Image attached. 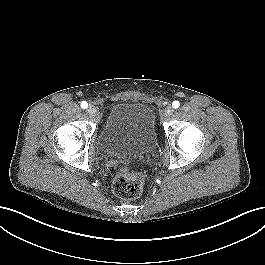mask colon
Here are the masks:
<instances>
[{"mask_svg": "<svg viewBox=\"0 0 265 265\" xmlns=\"http://www.w3.org/2000/svg\"><path fill=\"white\" fill-rule=\"evenodd\" d=\"M144 189V176L140 171L121 167L113 177L112 190L121 199H135Z\"/></svg>", "mask_w": 265, "mask_h": 265, "instance_id": "colon-1", "label": "colon"}]
</instances>
